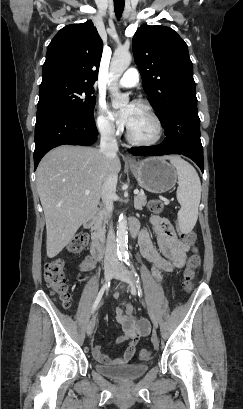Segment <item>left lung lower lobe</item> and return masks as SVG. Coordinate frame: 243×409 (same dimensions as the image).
<instances>
[{
    "instance_id": "left-lung-lower-lobe-1",
    "label": "left lung lower lobe",
    "mask_w": 243,
    "mask_h": 409,
    "mask_svg": "<svg viewBox=\"0 0 243 409\" xmlns=\"http://www.w3.org/2000/svg\"><path fill=\"white\" fill-rule=\"evenodd\" d=\"M162 126L166 129V137L161 144L133 147L132 154L136 156L182 154L192 159L203 172V147L200 140L197 103L179 108Z\"/></svg>"
}]
</instances>
